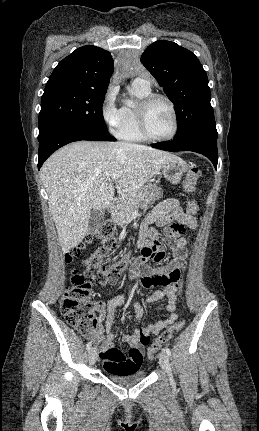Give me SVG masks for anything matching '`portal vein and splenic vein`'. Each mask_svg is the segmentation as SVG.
Returning a JSON list of instances; mask_svg holds the SVG:
<instances>
[{"instance_id":"obj_1","label":"portal vein and splenic vein","mask_w":259,"mask_h":431,"mask_svg":"<svg viewBox=\"0 0 259 431\" xmlns=\"http://www.w3.org/2000/svg\"><path fill=\"white\" fill-rule=\"evenodd\" d=\"M122 174H123V171H117V172H115V173L112 175V177H111V178H109L108 180H109V181L117 180L118 178H120V177L122 176Z\"/></svg>"}]
</instances>
